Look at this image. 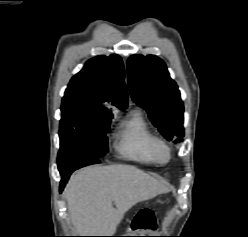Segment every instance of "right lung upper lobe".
I'll use <instances>...</instances> for the list:
<instances>
[{
  "label": "right lung upper lobe",
  "mask_w": 248,
  "mask_h": 237,
  "mask_svg": "<svg viewBox=\"0 0 248 237\" xmlns=\"http://www.w3.org/2000/svg\"><path fill=\"white\" fill-rule=\"evenodd\" d=\"M124 77V66L120 56L92 58L71 79L62 105L76 106L92 114L110 116L112 113L107 108V103L121 109L128 105Z\"/></svg>",
  "instance_id": "obj_1"
}]
</instances>
